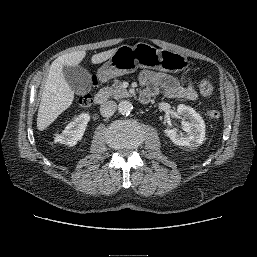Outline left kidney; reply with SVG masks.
<instances>
[{
    "label": "left kidney",
    "instance_id": "5707ae66",
    "mask_svg": "<svg viewBox=\"0 0 257 257\" xmlns=\"http://www.w3.org/2000/svg\"><path fill=\"white\" fill-rule=\"evenodd\" d=\"M177 113L183 117L182 129L186 132L177 133L175 128H166L164 133L178 146L197 148L205 140V123L199 113L184 104L177 106Z\"/></svg>",
    "mask_w": 257,
    "mask_h": 257
}]
</instances>
